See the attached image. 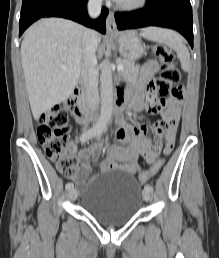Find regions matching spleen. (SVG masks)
Instances as JSON below:
<instances>
[{"label": "spleen", "instance_id": "3e777b00", "mask_svg": "<svg viewBox=\"0 0 219 258\" xmlns=\"http://www.w3.org/2000/svg\"><path fill=\"white\" fill-rule=\"evenodd\" d=\"M140 35L150 41L163 43L176 51L183 70L188 71L190 67V54L183 43L182 37L169 29L159 27H148L142 29Z\"/></svg>", "mask_w": 219, "mask_h": 258}]
</instances>
